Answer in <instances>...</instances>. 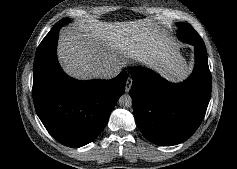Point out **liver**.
<instances>
[{
	"mask_svg": "<svg viewBox=\"0 0 237 169\" xmlns=\"http://www.w3.org/2000/svg\"><path fill=\"white\" fill-rule=\"evenodd\" d=\"M59 58L64 70L77 79L100 78L102 69L128 61L164 62L165 39L153 23L132 24L100 21L79 23L60 34Z\"/></svg>",
	"mask_w": 237,
	"mask_h": 169,
	"instance_id": "1",
	"label": "liver"
}]
</instances>
